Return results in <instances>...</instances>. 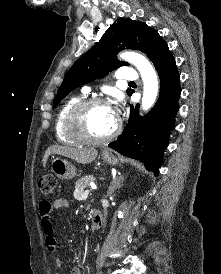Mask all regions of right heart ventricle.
Segmentation results:
<instances>
[{"instance_id": "obj_1", "label": "right heart ventricle", "mask_w": 221, "mask_h": 274, "mask_svg": "<svg viewBox=\"0 0 221 274\" xmlns=\"http://www.w3.org/2000/svg\"><path fill=\"white\" fill-rule=\"evenodd\" d=\"M86 98V94H78L69 97L59 108L56 118H55V123H54V134L56 139L66 145H75L78 144L79 141L73 138L72 136L69 135L66 129V117L70 109L79 101L83 100Z\"/></svg>"}]
</instances>
